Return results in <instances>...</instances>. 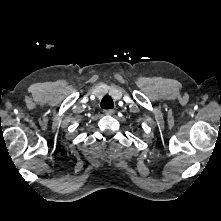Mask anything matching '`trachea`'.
<instances>
[{
    "instance_id": "1",
    "label": "trachea",
    "mask_w": 221,
    "mask_h": 221,
    "mask_svg": "<svg viewBox=\"0 0 221 221\" xmlns=\"http://www.w3.org/2000/svg\"><path fill=\"white\" fill-rule=\"evenodd\" d=\"M100 105L103 109H112L114 107L113 100L110 96H104Z\"/></svg>"
}]
</instances>
